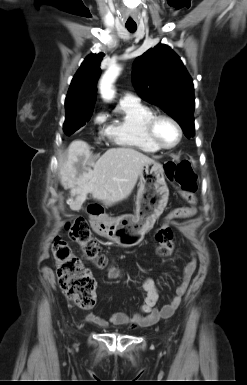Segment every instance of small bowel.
<instances>
[{"label":"small bowel","mask_w":247,"mask_h":385,"mask_svg":"<svg viewBox=\"0 0 247 385\" xmlns=\"http://www.w3.org/2000/svg\"><path fill=\"white\" fill-rule=\"evenodd\" d=\"M181 209L184 211L182 217L194 216L197 213L196 199L191 203V206L181 207ZM196 266V258L194 253H192L191 259L186 261L183 266L182 278L175 291V294L169 303L164 305L162 308H156V304L159 298L157 285L152 278L145 277L143 279L142 285L147 294L143 304L140 307V311L133 312L131 314L124 311H116L108 319L100 317L94 313H88L86 315V320L100 327H106L109 323L114 325L147 326L155 323L159 319L169 318L180 305L182 298L189 286L190 280L195 273ZM118 276V268L112 267L108 272L109 279H116Z\"/></svg>","instance_id":"c3829d8e"}]
</instances>
